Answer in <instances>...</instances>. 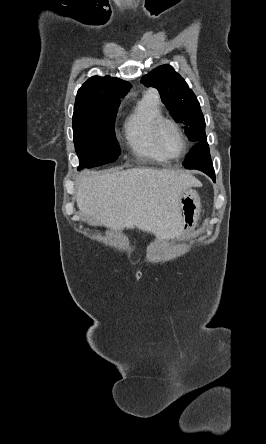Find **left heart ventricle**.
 I'll list each match as a JSON object with an SVG mask.
<instances>
[{
	"mask_svg": "<svg viewBox=\"0 0 266 444\" xmlns=\"http://www.w3.org/2000/svg\"><path fill=\"white\" fill-rule=\"evenodd\" d=\"M160 143L165 152L170 156H177L181 150V139L176 129L166 124L161 129Z\"/></svg>",
	"mask_w": 266,
	"mask_h": 444,
	"instance_id": "b2bd125f",
	"label": "left heart ventricle"
}]
</instances>
